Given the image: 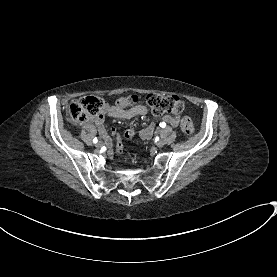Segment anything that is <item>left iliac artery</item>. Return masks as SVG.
Returning <instances> with one entry per match:
<instances>
[{"mask_svg":"<svg viewBox=\"0 0 277 277\" xmlns=\"http://www.w3.org/2000/svg\"><path fill=\"white\" fill-rule=\"evenodd\" d=\"M160 127H162V128L166 127V123L165 122H161L160 123Z\"/></svg>","mask_w":277,"mask_h":277,"instance_id":"obj_1","label":"left iliac artery"}]
</instances>
